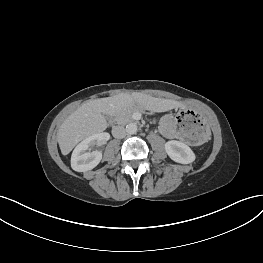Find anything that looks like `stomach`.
Listing matches in <instances>:
<instances>
[{"label":"stomach","mask_w":263,"mask_h":263,"mask_svg":"<svg viewBox=\"0 0 263 263\" xmlns=\"http://www.w3.org/2000/svg\"><path fill=\"white\" fill-rule=\"evenodd\" d=\"M174 128L181 138L190 144H202L210 136L209 123L193 109L178 110L174 117Z\"/></svg>","instance_id":"0dacf381"}]
</instances>
